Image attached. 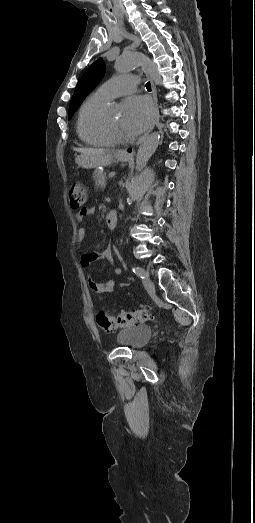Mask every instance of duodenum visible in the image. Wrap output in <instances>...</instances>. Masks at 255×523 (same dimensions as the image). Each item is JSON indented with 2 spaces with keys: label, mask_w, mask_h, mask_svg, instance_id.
Here are the masks:
<instances>
[{
  "label": "duodenum",
  "mask_w": 255,
  "mask_h": 523,
  "mask_svg": "<svg viewBox=\"0 0 255 523\" xmlns=\"http://www.w3.org/2000/svg\"><path fill=\"white\" fill-rule=\"evenodd\" d=\"M117 213L115 211H110L106 216V224L110 229H114L117 224Z\"/></svg>",
  "instance_id": "1"
}]
</instances>
